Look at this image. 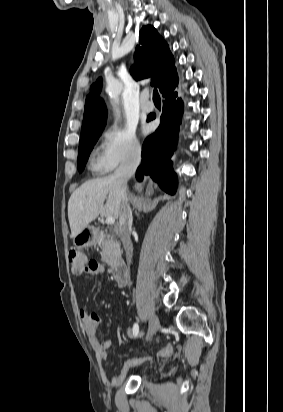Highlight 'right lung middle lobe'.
Segmentation results:
<instances>
[{
	"label": "right lung middle lobe",
	"instance_id": "dd1d6c3e",
	"mask_svg": "<svg viewBox=\"0 0 283 412\" xmlns=\"http://www.w3.org/2000/svg\"><path fill=\"white\" fill-rule=\"evenodd\" d=\"M101 132L89 134L81 137L78 150V171L82 172L88 160L91 150L97 142Z\"/></svg>",
	"mask_w": 283,
	"mask_h": 412
}]
</instances>
